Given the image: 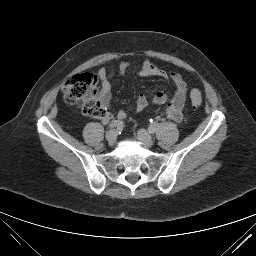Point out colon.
Listing matches in <instances>:
<instances>
[{"label":"colon","instance_id":"1","mask_svg":"<svg viewBox=\"0 0 256 256\" xmlns=\"http://www.w3.org/2000/svg\"><path fill=\"white\" fill-rule=\"evenodd\" d=\"M98 79L93 73L76 74L70 77L62 86V93L69 105H81L84 115L101 118L106 114V108L97 99ZM191 104L198 108L202 104L199 90L193 89L190 93Z\"/></svg>","mask_w":256,"mask_h":256}]
</instances>
